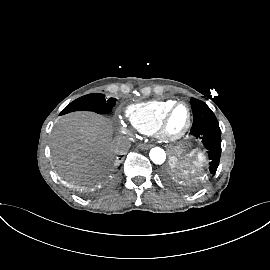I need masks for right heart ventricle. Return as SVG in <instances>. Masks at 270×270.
<instances>
[{
    "label": "right heart ventricle",
    "mask_w": 270,
    "mask_h": 270,
    "mask_svg": "<svg viewBox=\"0 0 270 270\" xmlns=\"http://www.w3.org/2000/svg\"><path fill=\"white\" fill-rule=\"evenodd\" d=\"M176 101H148L129 105L125 110V115L133 129L136 131L152 135L157 131L159 121L164 112Z\"/></svg>",
    "instance_id": "obj_1"
}]
</instances>
